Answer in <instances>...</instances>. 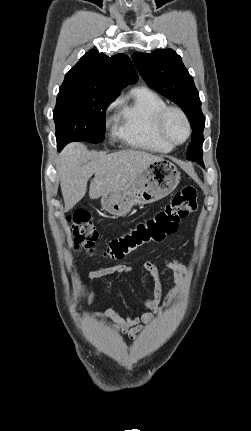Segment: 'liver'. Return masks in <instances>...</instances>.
<instances>
[{
	"label": "liver",
	"mask_w": 251,
	"mask_h": 431,
	"mask_svg": "<svg viewBox=\"0 0 251 431\" xmlns=\"http://www.w3.org/2000/svg\"><path fill=\"white\" fill-rule=\"evenodd\" d=\"M162 159L133 149L105 154L89 152L83 143L67 145L60 153L56 166L64 211L71 210L85 196L87 182L93 174L89 197L98 199L111 190L126 186L147 165Z\"/></svg>",
	"instance_id": "6515ba94"
}]
</instances>
